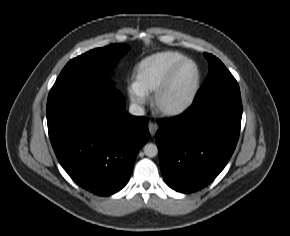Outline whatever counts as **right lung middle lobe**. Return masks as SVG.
Segmentation results:
<instances>
[{
    "mask_svg": "<svg viewBox=\"0 0 290 236\" xmlns=\"http://www.w3.org/2000/svg\"><path fill=\"white\" fill-rule=\"evenodd\" d=\"M128 50V45L113 44L72 59L63 68L50 92L111 88V69Z\"/></svg>",
    "mask_w": 290,
    "mask_h": 236,
    "instance_id": "right-lung-middle-lobe-1",
    "label": "right lung middle lobe"
}]
</instances>
